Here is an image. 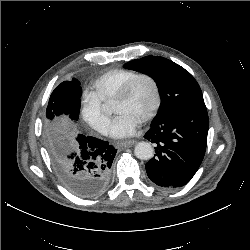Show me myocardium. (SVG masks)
I'll return each instance as SVG.
<instances>
[{
  "label": "myocardium",
  "instance_id": "obj_1",
  "mask_svg": "<svg viewBox=\"0 0 250 250\" xmlns=\"http://www.w3.org/2000/svg\"><path fill=\"white\" fill-rule=\"evenodd\" d=\"M141 80L149 81L153 87L154 94H155V104H154L152 111L141 121L142 124H146V123L151 122L158 115L160 108H161V104H162L161 89H160L158 81L156 80L154 76L150 74L142 73L132 78L121 88V90L119 91V93L114 99V104L126 101L131 95L136 84Z\"/></svg>",
  "mask_w": 250,
  "mask_h": 250
}]
</instances>
